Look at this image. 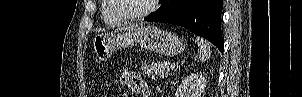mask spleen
<instances>
[{
  "label": "spleen",
  "instance_id": "3e777b00",
  "mask_svg": "<svg viewBox=\"0 0 302 97\" xmlns=\"http://www.w3.org/2000/svg\"><path fill=\"white\" fill-rule=\"evenodd\" d=\"M196 42L199 47V60L201 62L207 61L211 56L210 44L200 37H196Z\"/></svg>",
  "mask_w": 302,
  "mask_h": 97
}]
</instances>
